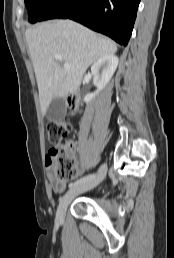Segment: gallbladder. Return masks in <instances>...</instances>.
Instances as JSON below:
<instances>
[{
    "mask_svg": "<svg viewBox=\"0 0 174 258\" xmlns=\"http://www.w3.org/2000/svg\"><path fill=\"white\" fill-rule=\"evenodd\" d=\"M66 114V107L62 98H53L48 106L46 118L49 121L61 120Z\"/></svg>",
    "mask_w": 174,
    "mask_h": 258,
    "instance_id": "bac80fb5",
    "label": "gallbladder"
}]
</instances>
